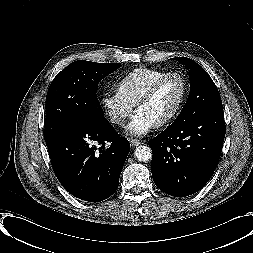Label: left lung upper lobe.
Here are the masks:
<instances>
[{"label": "left lung upper lobe", "instance_id": "1", "mask_svg": "<svg viewBox=\"0 0 253 253\" xmlns=\"http://www.w3.org/2000/svg\"><path fill=\"white\" fill-rule=\"evenodd\" d=\"M173 59L181 62L190 70V93L186 104L172 125L222 108L219 91L208 73L190 58L176 57Z\"/></svg>", "mask_w": 253, "mask_h": 253}]
</instances>
